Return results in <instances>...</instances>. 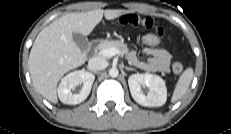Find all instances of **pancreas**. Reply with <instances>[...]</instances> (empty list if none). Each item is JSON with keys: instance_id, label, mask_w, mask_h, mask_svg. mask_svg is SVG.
Instances as JSON below:
<instances>
[{"instance_id": "cf45deb5", "label": "pancreas", "mask_w": 231, "mask_h": 134, "mask_svg": "<svg viewBox=\"0 0 231 134\" xmlns=\"http://www.w3.org/2000/svg\"><path fill=\"white\" fill-rule=\"evenodd\" d=\"M110 47L117 48L123 54H125L127 57H129L130 54H131L128 47H127V45L125 43L121 42V41H118V40H110V41L105 40V41L101 42L98 45L97 49L99 51H101V50H104V49H107V48H110Z\"/></svg>"}]
</instances>
